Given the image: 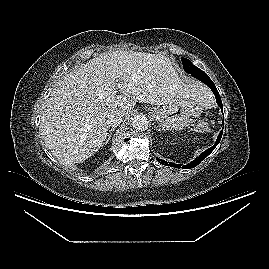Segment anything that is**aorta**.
Masks as SVG:
<instances>
[{
  "mask_svg": "<svg viewBox=\"0 0 269 269\" xmlns=\"http://www.w3.org/2000/svg\"><path fill=\"white\" fill-rule=\"evenodd\" d=\"M149 121L145 115H136L132 119V127L135 130L144 131L148 128Z\"/></svg>",
  "mask_w": 269,
  "mask_h": 269,
  "instance_id": "obj_1",
  "label": "aorta"
}]
</instances>
